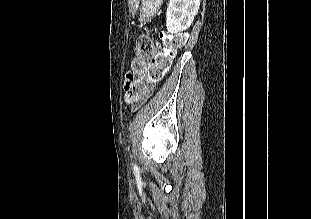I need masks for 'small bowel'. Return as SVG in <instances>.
I'll list each match as a JSON object with an SVG mask.
<instances>
[{
    "label": "small bowel",
    "instance_id": "obj_1",
    "mask_svg": "<svg viewBox=\"0 0 311 219\" xmlns=\"http://www.w3.org/2000/svg\"><path fill=\"white\" fill-rule=\"evenodd\" d=\"M144 71H129L124 79V99L132 108L140 107L152 94L156 86V81L152 80L144 84Z\"/></svg>",
    "mask_w": 311,
    "mask_h": 219
}]
</instances>
